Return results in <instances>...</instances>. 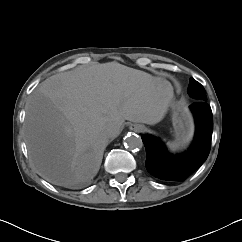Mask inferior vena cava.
Listing matches in <instances>:
<instances>
[{
	"label": "inferior vena cava",
	"mask_w": 242,
	"mask_h": 242,
	"mask_svg": "<svg viewBox=\"0 0 242 242\" xmlns=\"http://www.w3.org/2000/svg\"><path fill=\"white\" fill-rule=\"evenodd\" d=\"M122 131V126L118 122H113L106 130L109 137H117Z\"/></svg>",
	"instance_id": "602c4592"
}]
</instances>
